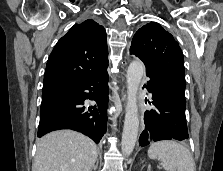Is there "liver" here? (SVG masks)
Wrapping results in <instances>:
<instances>
[{
    "instance_id": "6515ba94",
    "label": "liver",
    "mask_w": 223,
    "mask_h": 171,
    "mask_svg": "<svg viewBox=\"0 0 223 171\" xmlns=\"http://www.w3.org/2000/svg\"><path fill=\"white\" fill-rule=\"evenodd\" d=\"M98 157L96 144L87 136L59 130L37 142L32 171H90Z\"/></svg>"
}]
</instances>
